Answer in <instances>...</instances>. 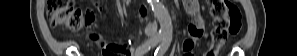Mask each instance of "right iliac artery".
<instances>
[{"label":"right iliac artery","mask_w":297,"mask_h":56,"mask_svg":"<svg viewBox=\"0 0 297 56\" xmlns=\"http://www.w3.org/2000/svg\"><path fill=\"white\" fill-rule=\"evenodd\" d=\"M163 39H164V35L163 34H161V33L157 34L150 41H147L144 44L140 45L136 49V55L137 56H141V55L145 54L147 51H149L151 49V47H153L154 45L158 44Z\"/></svg>","instance_id":"obj_1"}]
</instances>
